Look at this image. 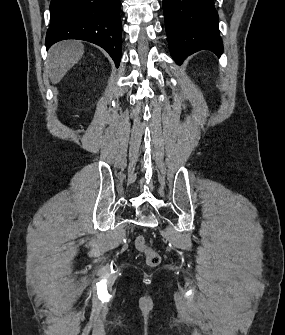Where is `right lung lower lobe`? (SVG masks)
<instances>
[{
  "mask_svg": "<svg viewBox=\"0 0 285 335\" xmlns=\"http://www.w3.org/2000/svg\"><path fill=\"white\" fill-rule=\"evenodd\" d=\"M46 48L65 39L92 42L104 48L119 66L122 25L120 0H51Z\"/></svg>",
  "mask_w": 285,
  "mask_h": 335,
  "instance_id": "98d812e1",
  "label": "right lung lower lobe"
}]
</instances>
